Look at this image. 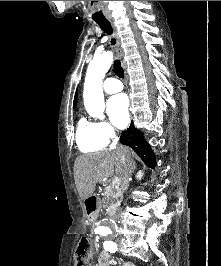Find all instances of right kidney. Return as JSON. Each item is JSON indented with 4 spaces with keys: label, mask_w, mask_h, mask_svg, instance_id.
Here are the masks:
<instances>
[{
    "label": "right kidney",
    "mask_w": 221,
    "mask_h": 266,
    "mask_svg": "<svg viewBox=\"0 0 221 266\" xmlns=\"http://www.w3.org/2000/svg\"><path fill=\"white\" fill-rule=\"evenodd\" d=\"M143 172L142 171H139L138 173H137V175H136V179H138V180H141V178L143 177Z\"/></svg>",
    "instance_id": "ca27d5eb"
}]
</instances>
